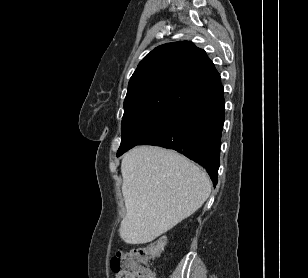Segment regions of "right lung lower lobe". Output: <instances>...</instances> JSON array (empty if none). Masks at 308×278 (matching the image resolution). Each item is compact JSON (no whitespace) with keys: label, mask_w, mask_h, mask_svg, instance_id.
Masks as SVG:
<instances>
[{"label":"right lung lower lobe","mask_w":308,"mask_h":278,"mask_svg":"<svg viewBox=\"0 0 308 278\" xmlns=\"http://www.w3.org/2000/svg\"><path fill=\"white\" fill-rule=\"evenodd\" d=\"M224 111L222 87L178 111L162 129L139 145L161 146L184 154L206 168L216 185Z\"/></svg>","instance_id":"obj_1"}]
</instances>
